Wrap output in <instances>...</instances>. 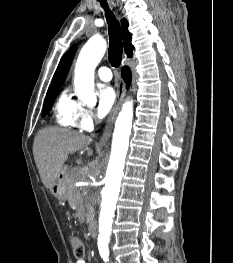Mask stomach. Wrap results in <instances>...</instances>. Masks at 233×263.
<instances>
[{
  "mask_svg": "<svg viewBox=\"0 0 233 263\" xmlns=\"http://www.w3.org/2000/svg\"><path fill=\"white\" fill-rule=\"evenodd\" d=\"M69 170L64 168L62 173L59 175L57 180L54 182L53 186L51 187L50 191L53 196L60 200H66L69 190Z\"/></svg>",
  "mask_w": 233,
  "mask_h": 263,
  "instance_id": "obj_1",
  "label": "stomach"
}]
</instances>
